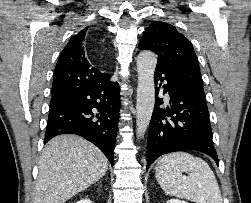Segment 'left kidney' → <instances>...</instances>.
Masks as SVG:
<instances>
[{"label":"left kidney","mask_w":251,"mask_h":203,"mask_svg":"<svg viewBox=\"0 0 251 203\" xmlns=\"http://www.w3.org/2000/svg\"><path fill=\"white\" fill-rule=\"evenodd\" d=\"M167 203H188V202L179 199H170L167 201Z\"/></svg>","instance_id":"left-kidney-1"}]
</instances>
